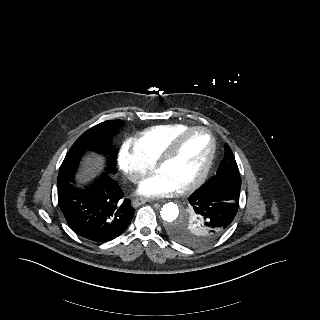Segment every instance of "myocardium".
<instances>
[{
	"instance_id": "obj_1",
	"label": "myocardium",
	"mask_w": 320,
	"mask_h": 320,
	"mask_svg": "<svg viewBox=\"0 0 320 320\" xmlns=\"http://www.w3.org/2000/svg\"><path fill=\"white\" fill-rule=\"evenodd\" d=\"M197 132H203L208 135L209 140H210L209 155H208L207 161H206L202 171L200 172V174L192 181L179 187V189H178L179 192H187V191L193 190V189L197 188L198 186H200L207 178V176L212 168V165H213V162L215 159V154H216V140H215L213 134L211 133V131L205 127H202V126H194V127H190L188 129L184 130L183 132L179 133L177 136H175L173 138V140L168 144V146L165 148V150L161 153V155L155 161V167L157 169H159L163 164H165L166 162L171 160L176 155L183 140L186 137H188L189 135H191L193 133H197Z\"/></svg>"
}]
</instances>
